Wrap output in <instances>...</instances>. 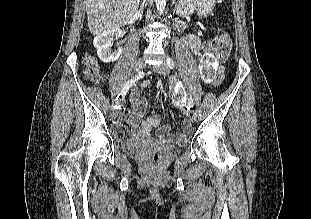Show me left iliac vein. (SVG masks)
Instances as JSON below:
<instances>
[{"mask_svg":"<svg viewBox=\"0 0 311 219\" xmlns=\"http://www.w3.org/2000/svg\"><path fill=\"white\" fill-rule=\"evenodd\" d=\"M156 71L164 76L168 75L170 70L166 63H161L156 67ZM190 120L194 122L196 120V113L194 110L191 111Z\"/></svg>","mask_w":311,"mask_h":219,"instance_id":"left-iliac-vein-1","label":"left iliac vein"}]
</instances>
